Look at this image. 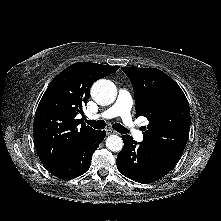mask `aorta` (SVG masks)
<instances>
[{"label":"aorta","instance_id":"1","mask_svg":"<svg viewBox=\"0 0 221 221\" xmlns=\"http://www.w3.org/2000/svg\"><path fill=\"white\" fill-rule=\"evenodd\" d=\"M91 96L97 104L107 106L115 101L117 88L110 80L100 79L93 84ZM106 147L113 152H119L123 148V140L117 135H110L106 139Z\"/></svg>","mask_w":221,"mask_h":221}]
</instances>
